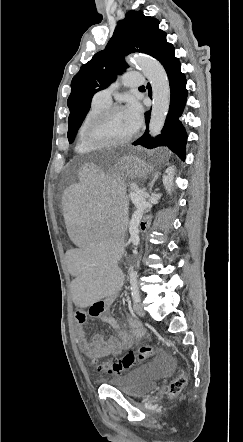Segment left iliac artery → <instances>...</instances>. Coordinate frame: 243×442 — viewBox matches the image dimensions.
Returning a JSON list of instances; mask_svg holds the SVG:
<instances>
[{
    "label": "left iliac artery",
    "instance_id": "1",
    "mask_svg": "<svg viewBox=\"0 0 243 442\" xmlns=\"http://www.w3.org/2000/svg\"><path fill=\"white\" fill-rule=\"evenodd\" d=\"M130 277L135 278V272L132 271L130 273ZM131 294L134 302L140 301L139 289L137 283L135 282V279L131 280Z\"/></svg>",
    "mask_w": 243,
    "mask_h": 442
}]
</instances>
